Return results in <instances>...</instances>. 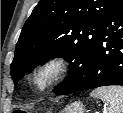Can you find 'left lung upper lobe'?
Listing matches in <instances>:
<instances>
[{"label": "left lung upper lobe", "instance_id": "5c2ea615", "mask_svg": "<svg viewBox=\"0 0 123 113\" xmlns=\"http://www.w3.org/2000/svg\"><path fill=\"white\" fill-rule=\"evenodd\" d=\"M113 1L40 0L16 44L10 66L14 81L40 63L58 56L71 62V72L54 92L60 95L80 84L89 67L101 21Z\"/></svg>", "mask_w": 123, "mask_h": 113}]
</instances>
